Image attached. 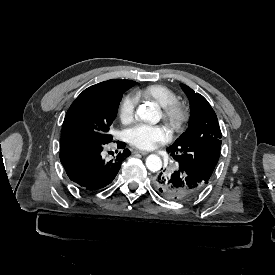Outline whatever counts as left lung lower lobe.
Wrapping results in <instances>:
<instances>
[{
    "label": "left lung lower lobe",
    "mask_w": 275,
    "mask_h": 275,
    "mask_svg": "<svg viewBox=\"0 0 275 275\" xmlns=\"http://www.w3.org/2000/svg\"><path fill=\"white\" fill-rule=\"evenodd\" d=\"M153 183L156 190L166 199L179 201L198 195L208 181L179 165L173 172H161Z\"/></svg>",
    "instance_id": "0a47b994"
}]
</instances>
